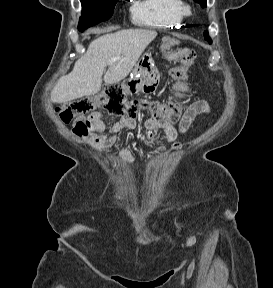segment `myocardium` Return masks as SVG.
Returning <instances> with one entry per match:
<instances>
[{
    "instance_id": "myocardium-1",
    "label": "myocardium",
    "mask_w": 273,
    "mask_h": 288,
    "mask_svg": "<svg viewBox=\"0 0 273 288\" xmlns=\"http://www.w3.org/2000/svg\"><path fill=\"white\" fill-rule=\"evenodd\" d=\"M191 14V8L189 6H184V15Z\"/></svg>"
}]
</instances>
